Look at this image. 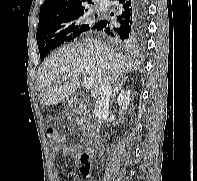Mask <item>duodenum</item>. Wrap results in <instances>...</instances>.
I'll return each instance as SVG.
<instances>
[{"mask_svg": "<svg viewBox=\"0 0 197 181\" xmlns=\"http://www.w3.org/2000/svg\"><path fill=\"white\" fill-rule=\"evenodd\" d=\"M70 109L71 111L75 112V113H79L82 114L84 117L89 118L90 115L87 112L84 104L80 101L77 100H73L70 102Z\"/></svg>", "mask_w": 197, "mask_h": 181, "instance_id": "410a0bca", "label": "duodenum"}]
</instances>
